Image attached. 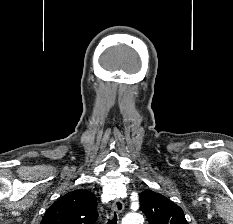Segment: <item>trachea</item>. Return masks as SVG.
<instances>
[{
	"mask_svg": "<svg viewBox=\"0 0 233 224\" xmlns=\"http://www.w3.org/2000/svg\"><path fill=\"white\" fill-rule=\"evenodd\" d=\"M107 224H117V215H116V213H114V216L112 217V219H110L108 221Z\"/></svg>",
	"mask_w": 233,
	"mask_h": 224,
	"instance_id": "3493384b",
	"label": "trachea"
}]
</instances>
